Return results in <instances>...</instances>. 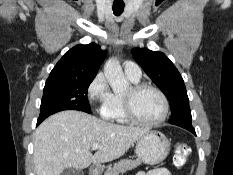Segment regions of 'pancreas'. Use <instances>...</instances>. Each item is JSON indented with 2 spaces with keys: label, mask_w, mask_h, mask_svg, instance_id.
Segmentation results:
<instances>
[{
  "label": "pancreas",
  "mask_w": 233,
  "mask_h": 175,
  "mask_svg": "<svg viewBox=\"0 0 233 175\" xmlns=\"http://www.w3.org/2000/svg\"><path fill=\"white\" fill-rule=\"evenodd\" d=\"M140 164V160L122 159L114 164L113 168H109L104 175H119L136 168Z\"/></svg>",
  "instance_id": "1"
}]
</instances>
